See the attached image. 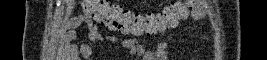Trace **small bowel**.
Wrapping results in <instances>:
<instances>
[{
    "mask_svg": "<svg viewBox=\"0 0 267 60\" xmlns=\"http://www.w3.org/2000/svg\"><path fill=\"white\" fill-rule=\"evenodd\" d=\"M181 10V18L184 19L190 17L193 20H199L204 17L206 13V3L204 1H187L182 5ZM79 27L84 28L90 41L100 42L112 39L110 36L101 33L97 24L89 16L82 14L68 19L65 25V32L63 36L64 46L73 53L81 56L87 57L91 55L92 49L89 45L84 43L79 45L73 44V41L77 38V28ZM115 42L122 44L130 54L135 55L143 60L166 59L167 43L163 39L158 40L152 50L145 47L141 37H137L128 41L116 40Z\"/></svg>",
    "mask_w": 267,
    "mask_h": 60,
    "instance_id": "small-bowel-1",
    "label": "small bowel"
}]
</instances>
